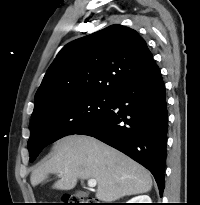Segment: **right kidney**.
<instances>
[{"mask_svg":"<svg viewBox=\"0 0 200 205\" xmlns=\"http://www.w3.org/2000/svg\"><path fill=\"white\" fill-rule=\"evenodd\" d=\"M127 203H152L148 195H139L130 199Z\"/></svg>","mask_w":200,"mask_h":205,"instance_id":"obj_1","label":"right kidney"}]
</instances>
